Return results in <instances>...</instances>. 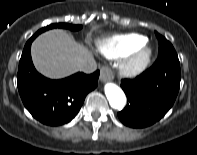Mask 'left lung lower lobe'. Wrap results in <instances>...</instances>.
I'll use <instances>...</instances> for the list:
<instances>
[{"mask_svg": "<svg viewBox=\"0 0 197 155\" xmlns=\"http://www.w3.org/2000/svg\"><path fill=\"white\" fill-rule=\"evenodd\" d=\"M180 63L174 58H158L134 79H122L126 107L118 112L121 122L143 128L160 120L173 106L180 87Z\"/></svg>", "mask_w": 197, "mask_h": 155, "instance_id": "obj_1", "label": "left lung lower lobe"}]
</instances>
